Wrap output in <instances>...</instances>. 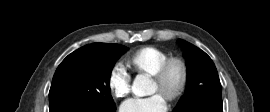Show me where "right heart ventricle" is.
<instances>
[{"label": "right heart ventricle", "instance_id": "right-heart-ventricle-1", "mask_svg": "<svg viewBox=\"0 0 270 112\" xmlns=\"http://www.w3.org/2000/svg\"><path fill=\"white\" fill-rule=\"evenodd\" d=\"M169 58L170 55L164 50L147 46L131 54L127 62L134 71L152 75Z\"/></svg>", "mask_w": 270, "mask_h": 112}]
</instances>
